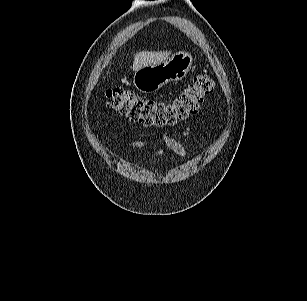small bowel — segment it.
Masks as SVG:
<instances>
[{
	"mask_svg": "<svg viewBox=\"0 0 307 301\" xmlns=\"http://www.w3.org/2000/svg\"><path fill=\"white\" fill-rule=\"evenodd\" d=\"M190 129H191L190 125L184 128L183 130L184 140L188 137ZM162 142L177 155L181 157L186 156L187 150L183 141L173 138L168 134H164L162 137ZM148 146L149 143L146 140H133L127 143V147L131 149H147L148 156L153 158L160 157L163 154V151L161 149H148Z\"/></svg>",
	"mask_w": 307,
	"mask_h": 301,
	"instance_id": "small-bowel-1",
	"label": "small bowel"
}]
</instances>
